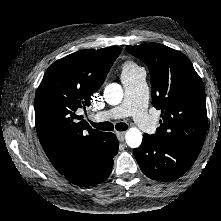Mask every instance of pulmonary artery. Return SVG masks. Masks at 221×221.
<instances>
[{"mask_svg": "<svg viewBox=\"0 0 221 221\" xmlns=\"http://www.w3.org/2000/svg\"><path fill=\"white\" fill-rule=\"evenodd\" d=\"M121 81L125 90L122 103L110 110L97 113L92 119L104 121L132 116L140 128L153 131L154 118L147 112L148 88L145 82V71L139 69L129 76H121Z\"/></svg>", "mask_w": 221, "mask_h": 221, "instance_id": "obj_1", "label": "pulmonary artery"}]
</instances>
